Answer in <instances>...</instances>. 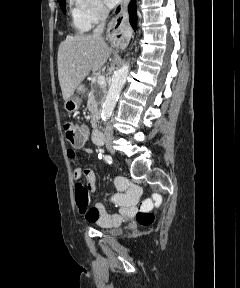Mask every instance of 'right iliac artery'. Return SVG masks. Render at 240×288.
Here are the masks:
<instances>
[{
    "instance_id": "obj_1",
    "label": "right iliac artery",
    "mask_w": 240,
    "mask_h": 288,
    "mask_svg": "<svg viewBox=\"0 0 240 288\" xmlns=\"http://www.w3.org/2000/svg\"><path fill=\"white\" fill-rule=\"evenodd\" d=\"M104 160L107 162V163H109V164H111L112 163V157L111 156H109V155H104Z\"/></svg>"
}]
</instances>
